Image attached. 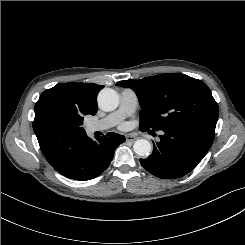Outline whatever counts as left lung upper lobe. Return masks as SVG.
Segmentation results:
<instances>
[{
	"label": "left lung upper lobe",
	"mask_w": 245,
	"mask_h": 245,
	"mask_svg": "<svg viewBox=\"0 0 245 245\" xmlns=\"http://www.w3.org/2000/svg\"><path fill=\"white\" fill-rule=\"evenodd\" d=\"M116 85L135 91L141 105L142 131L193 125L215 132L218 105L208 86L198 79L170 73Z\"/></svg>",
	"instance_id": "obj_1"
}]
</instances>
